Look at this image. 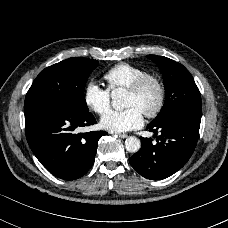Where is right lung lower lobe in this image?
<instances>
[{"mask_svg":"<svg viewBox=\"0 0 228 228\" xmlns=\"http://www.w3.org/2000/svg\"><path fill=\"white\" fill-rule=\"evenodd\" d=\"M26 138L34 155L54 176L82 177L93 165L104 131L75 134L78 127L96 123L89 112L54 101L25 104Z\"/></svg>","mask_w":228,"mask_h":228,"instance_id":"98d812e1","label":"right lung lower lobe"}]
</instances>
